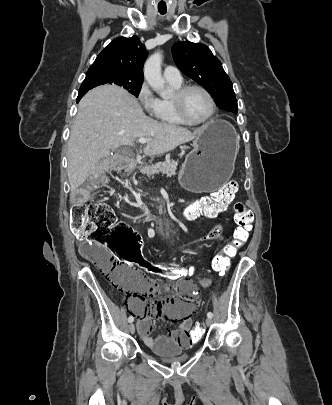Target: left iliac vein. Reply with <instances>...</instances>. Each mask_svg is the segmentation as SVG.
Listing matches in <instances>:
<instances>
[{"label":"left iliac vein","instance_id":"obj_1","mask_svg":"<svg viewBox=\"0 0 332 405\" xmlns=\"http://www.w3.org/2000/svg\"><path fill=\"white\" fill-rule=\"evenodd\" d=\"M212 323H213L212 318H207V319H206V325H207V326L212 325Z\"/></svg>","mask_w":332,"mask_h":405}]
</instances>
